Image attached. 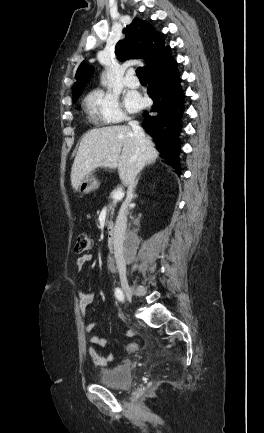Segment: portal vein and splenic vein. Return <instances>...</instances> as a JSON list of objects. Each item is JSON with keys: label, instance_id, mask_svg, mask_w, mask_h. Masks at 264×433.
I'll return each instance as SVG.
<instances>
[{"label": "portal vein and splenic vein", "instance_id": "1", "mask_svg": "<svg viewBox=\"0 0 264 433\" xmlns=\"http://www.w3.org/2000/svg\"><path fill=\"white\" fill-rule=\"evenodd\" d=\"M123 197H124V192L118 190V191H116V192L113 194V197H112V198H113V200H122Z\"/></svg>", "mask_w": 264, "mask_h": 433}]
</instances>
